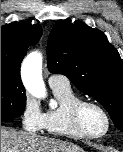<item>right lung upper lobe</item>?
<instances>
[{
  "label": "right lung upper lobe",
  "mask_w": 123,
  "mask_h": 152,
  "mask_svg": "<svg viewBox=\"0 0 123 152\" xmlns=\"http://www.w3.org/2000/svg\"><path fill=\"white\" fill-rule=\"evenodd\" d=\"M42 33L40 25L29 22H13L1 26V73L20 79V65L26 51L39 41Z\"/></svg>",
  "instance_id": "obj_1"
}]
</instances>
